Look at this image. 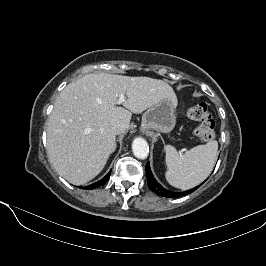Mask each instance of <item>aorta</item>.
Returning a JSON list of instances; mask_svg holds the SVG:
<instances>
[{
	"label": "aorta",
	"instance_id": "aorta-1",
	"mask_svg": "<svg viewBox=\"0 0 266 266\" xmlns=\"http://www.w3.org/2000/svg\"><path fill=\"white\" fill-rule=\"evenodd\" d=\"M132 150L134 155L139 159H145L149 154V146L146 140L140 137L134 139Z\"/></svg>",
	"mask_w": 266,
	"mask_h": 266
}]
</instances>
